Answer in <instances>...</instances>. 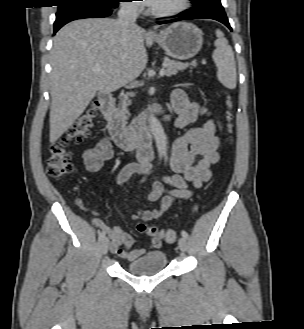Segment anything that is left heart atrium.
<instances>
[{
    "label": "left heart atrium",
    "instance_id": "1",
    "mask_svg": "<svg viewBox=\"0 0 304 329\" xmlns=\"http://www.w3.org/2000/svg\"><path fill=\"white\" fill-rule=\"evenodd\" d=\"M155 0H144V3L148 6H151Z\"/></svg>",
    "mask_w": 304,
    "mask_h": 329
}]
</instances>
